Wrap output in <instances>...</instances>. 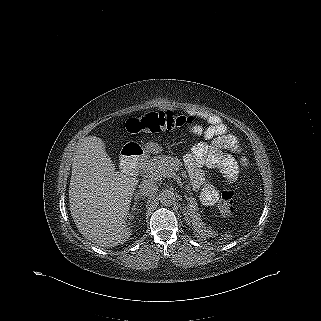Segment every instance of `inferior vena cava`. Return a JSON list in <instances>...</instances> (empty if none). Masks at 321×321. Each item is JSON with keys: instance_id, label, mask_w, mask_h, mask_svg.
Wrapping results in <instances>:
<instances>
[{"instance_id": "602c4592", "label": "inferior vena cava", "mask_w": 321, "mask_h": 321, "mask_svg": "<svg viewBox=\"0 0 321 321\" xmlns=\"http://www.w3.org/2000/svg\"><path fill=\"white\" fill-rule=\"evenodd\" d=\"M139 188L140 194L148 197L155 195L158 191V186L150 179H145L142 181V183L139 185Z\"/></svg>"}]
</instances>
